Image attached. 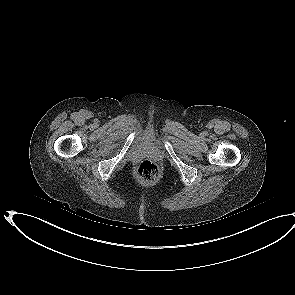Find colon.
<instances>
[{"label": "colon", "mask_w": 295, "mask_h": 295, "mask_svg": "<svg viewBox=\"0 0 295 295\" xmlns=\"http://www.w3.org/2000/svg\"><path fill=\"white\" fill-rule=\"evenodd\" d=\"M136 177L140 183H153L159 177V169L155 163L149 160L142 161L136 169Z\"/></svg>", "instance_id": "5ec220e1"}]
</instances>
